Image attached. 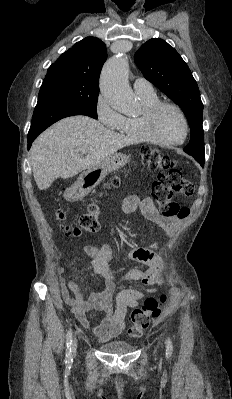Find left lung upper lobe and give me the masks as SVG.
Listing matches in <instances>:
<instances>
[{"label": "left lung upper lobe", "instance_id": "5c2ea615", "mask_svg": "<svg viewBox=\"0 0 232 399\" xmlns=\"http://www.w3.org/2000/svg\"><path fill=\"white\" fill-rule=\"evenodd\" d=\"M134 60L144 77L183 109L191 131L184 152L198 162L205 161L203 103L187 64L173 47L159 38L144 43L134 55Z\"/></svg>", "mask_w": 232, "mask_h": 399}]
</instances>
